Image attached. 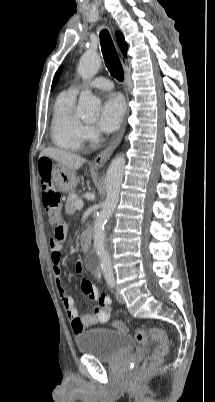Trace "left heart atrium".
I'll list each match as a JSON object with an SVG mask.
<instances>
[{"instance_id":"obj_1","label":"left heart atrium","mask_w":215,"mask_h":402,"mask_svg":"<svg viewBox=\"0 0 215 402\" xmlns=\"http://www.w3.org/2000/svg\"><path fill=\"white\" fill-rule=\"evenodd\" d=\"M125 114V102L118 94L108 95L102 103L99 126L102 130L111 132L116 130Z\"/></svg>"}]
</instances>
